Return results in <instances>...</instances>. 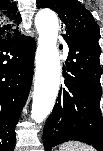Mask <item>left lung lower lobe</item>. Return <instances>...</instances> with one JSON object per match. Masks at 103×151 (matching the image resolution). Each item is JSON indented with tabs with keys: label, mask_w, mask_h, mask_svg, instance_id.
Returning <instances> with one entry per match:
<instances>
[{
	"label": "left lung lower lobe",
	"mask_w": 103,
	"mask_h": 151,
	"mask_svg": "<svg viewBox=\"0 0 103 151\" xmlns=\"http://www.w3.org/2000/svg\"><path fill=\"white\" fill-rule=\"evenodd\" d=\"M64 39L69 46L64 86H61L53 112L46 121L45 151L69 140L81 141L103 151L101 48L98 41Z\"/></svg>",
	"instance_id": "left-lung-lower-lobe-1"
}]
</instances>
